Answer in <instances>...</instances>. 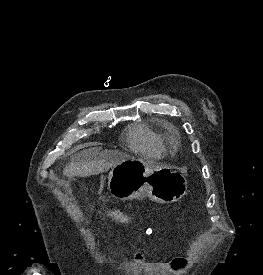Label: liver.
<instances>
[{"label": "liver", "instance_id": "liver-1", "mask_svg": "<svg viewBox=\"0 0 263 275\" xmlns=\"http://www.w3.org/2000/svg\"><path fill=\"white\" fill-rule=\"evenodd\" d=\"M90 151L78 156L77 161L71 162L64 169L63 174L68 177H87L107 171L118 163L131 158L129 155L118 151H106L99 158H88Z\"/></svg>", "mask_w": 263, "mask_h": 275}]
</instances>
